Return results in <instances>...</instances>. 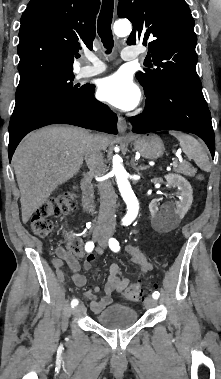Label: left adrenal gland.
Listing matches in <instances>:
<instances>
[{
	"mask_svg": "<svg viewBox=\"0 0 221 379\" xmlns=\"http://www.w3.org/2000/svg\"><path fill=\"white\" fill-rule=\"evenodd\" d=\"M131 164H132V167L137 171L146 169L145 166H138V164L136 163L134 159L131 161Z\"/></svg>",
	"mask_w": 221,
	"mask_h": 379,
	"instance_id": "1",
	"label": "left adrenal gland"
}]
</instances>
